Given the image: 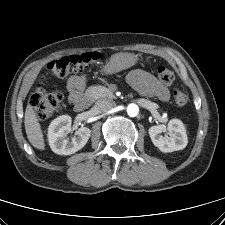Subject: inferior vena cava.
Returning <instances> with one entry per match:
<instances>
[{
	"mask_svg": "<svg viewBox=\"0 0 225 225\" xmlns=\"http://www.w3.org/2000/svg\"><path fill=\"white\" fill-rule=\"evenodd\" d=\"M116 106L115 102L109 99H100L96 102V107L101 112H107Z\"/></svg>",
	"mask_w": 225,
	"mask_h": 225,
	"instance_id": "obj_1",
	"label": "inferior vena cava"
}]
</instances>
